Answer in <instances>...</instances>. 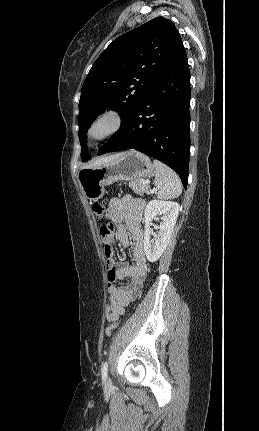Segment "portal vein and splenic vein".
<instances>
[{
  "instance_id": "18ae733b",
  "label": "portal vein and splenic vein",
  "mask_w": 259,
  "mask_h": 431,
  "mask_svg": "<svg viewBox=\"0 0 259 431\" xmlns=\"http://www.w3.org/2000/svg\"><path fill=\"white\" fill-rule=\"evenodd\" d=\"M141 182H142L143 184H146V183H147L145 180H141Z\"/></svg>"
}]
</instances>
